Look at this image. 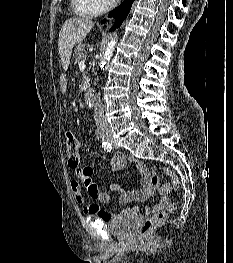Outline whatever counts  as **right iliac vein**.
I'll return each instance as SVG.
<instances>
[{"instance_id": "obj_1", "label": "right iliac vein", "mask_w": 233, "mask_h": 263, "mask_svg": "<svg viewBox=\"0 0 233 263\" xmlns=\"http://www.w3.org/2000/svg\"><path fill=\"white\" fill-rule=\"evenodd\" d=\"M104 139H105L106 141H110L111 138L108 137V136H105Z\"/></svg>"}]
</instances>
